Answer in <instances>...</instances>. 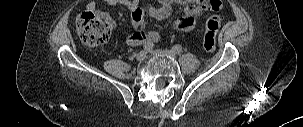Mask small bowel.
I'll return each mask as SVG.
<instances>
[{"label":"small bowel","instance_id":"small-bowel-1","mask_svg":"<svg viewBox=\"0 0 303 127\" xmlns=\"http://www.w3.org/2000/svg\"><path fill=\"white\" fill-rule=\"evenodd\" d=\"M157 5L148 10L142 9L139 5L140 0H104L109 5H122L131 12V23L134 32L126 40L128 45L154 44L159 41L160 35L156 31L144 32L142 30L145 24V18L149 15L155 20H163L172 12L174 3L184 6L182 16L175 22L176 28L180 31H191L195 28L198 16L204 10H220L222 4L219 0H156ZM87 9L95 11L97 3L90 1L87 3ZM103 19L111 28L115 27L113 18L108 13H100Z\"/></svg>","mask_w":303,"mask_h":127}]
</instances>
